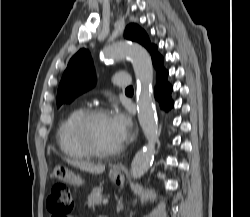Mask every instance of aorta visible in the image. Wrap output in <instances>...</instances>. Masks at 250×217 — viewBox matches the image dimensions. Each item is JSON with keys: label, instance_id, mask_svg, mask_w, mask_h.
I'll list each match as a JSON object with an SVG mask.
<instances>
[{"label": "aorta", "instance_id": "aorta-1", "mask_svg": "<svg viewBox=\"0 0 250 217\" xmlns=\"http://www.w3.org/2000/svg\"><path fill=\"white\" fill-rule=\"evenodd\" d=\"M103 58H130L138 82V120L148 143L139 150L131 164L134 179L142 177L150 168L154 158L155 143L158 139V123L155 104L151 96L153 65L147 50L139 44L115 43L103 50Z\"/></svg>", "mask_w": 250, "mask_h": 217}]
</instances>
